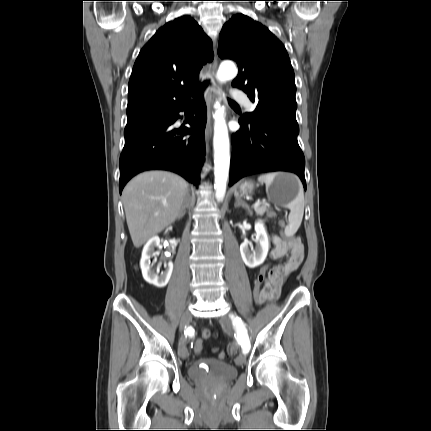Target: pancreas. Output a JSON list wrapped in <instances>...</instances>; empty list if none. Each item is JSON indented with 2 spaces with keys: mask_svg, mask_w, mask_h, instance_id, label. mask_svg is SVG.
Returning <instances> with one entry per match:
<instances>
[{
  "mask_svg": "<svg viewBox=\"0 0 431 431\" xmlns=\"http://www.w3.org/2000/svg\"><path fill=\"white\" fill-rule=\"evenodd\" d=\"M254 211L259 216H263L265 213H267V217H269V218H272L275 216V214L273 212H270L266 206L256 207V208H254Z\"/></svg>",
  "mask_w": 431,
  "mask_h": 431,
  "instance_id": "1",
  "label": "pancreas"
}]
</instances>
